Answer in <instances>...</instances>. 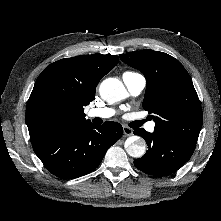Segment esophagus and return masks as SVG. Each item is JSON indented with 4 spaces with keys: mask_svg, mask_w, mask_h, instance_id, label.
Returning <instances> with one entry per match:
<instances>
[{
    "mask_svg": "<svg viewBox=\"0 0 221 221\" xmlns=\"http://www.w3.org/2000/svg\"><path fill=\"white\" fill-rule=\"evenodd\" d=\"M123 132L125 136H130L133 134V130L127 126L123 127Z\"/></svg>",
    "mask_w": 221,
    "mask_h": 221,
    "instance_id": "1",
    "label": "esophagus"
}]
</instances>
